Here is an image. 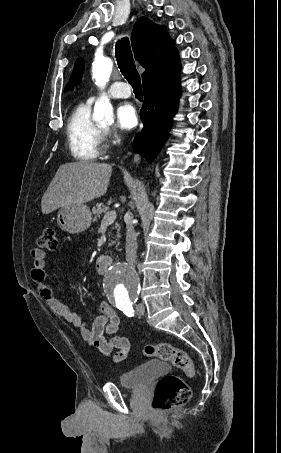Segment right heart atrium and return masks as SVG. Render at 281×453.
<instances>
[{"label": "right heart atrium", "instance_id": "d8ad5b80", "mask_svg": "<svg viewBox=\"0 0 281 453\" xmlns=\"http://www.w3.org/2000/svg\"><path fill=\"white\" fill-rule=\"evenodd\" d=\"M106 134H107V136H109L112 140H117V139H119V138L122 136V134H121L119 131H117V130H112V129L107 130V131H106Z\"/></svg>", "mask_w": 281, "mask_h": 453}]
</instances>
